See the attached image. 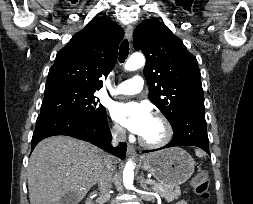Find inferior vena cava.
Wrapping results in <instances>:
<instances>
[{
	"label": "inferior vena cava",
	"instance_id": "inferior-vena-cava-1",
	"mask_svg": "<svg viewBox=\"0 0 253 204\" xmlns=\"http://www.w3.org/2000/svg\"><path fill=\"white\" fill-rule=\"evenodd\" d=\"M112 136V145L116 146L118 142H124L126 140V131L118 128L113 132ZM114 170L115 164H113L112 159L108 157L104 162V167L98 180L100 193L105 197L109 195V191L112 187V175Z\"/></svg>",
	"mask_w": 253,
	"mask_h": 204
}]
</instances>
